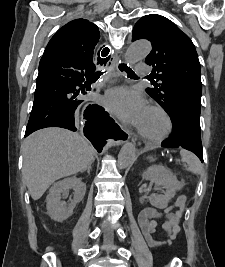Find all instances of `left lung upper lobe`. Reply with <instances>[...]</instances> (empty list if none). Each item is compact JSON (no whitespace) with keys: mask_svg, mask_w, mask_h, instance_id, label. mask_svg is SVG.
<instances>
[{"mask_svg":"<svg viewBox=\"0 0 225 267\" xmlns=\"http://www.w3.org/2000/svg\"><path fill=\"white\" fill-rule=\"evenodd\" d=\"M138 39L149 40L153 48L145 62L153 66V79L157 81H152L146 92L173 121L185 100L201 102V72L195 46L173 22L156 14L137 21L132 41Z\"/></svg>","mask_w":225,"mask_h":267,"instance_id":"5c2ea615","label":"left lung upper lobe"}]
</instances>
